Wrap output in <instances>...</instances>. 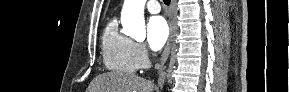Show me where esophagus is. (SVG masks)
I'll return each mask as SVG.
<instances>
[{"label": "esophagus", "mask_w": 289, "mask_h": 92, "mask_svg": "<svg viewBox=\"0 0 289 92\" xmlns=\"http://www.w3.org/2000/svg\"><path fill=\"white\" fill-rule=\"evenodd\" d=\"M174 10H175V0H171V3H170V21H169V27H170L169 37H168L167 43L165 45V48L163 50V53L160 57V60L156 65V68L159 71H161L163 69V66L167 61V58H168V55L170 52V48L172 46V43H173L174 37H175L176 26H175V21H174Z\"/></svg>", "instance_id": "1"}]
</instances>
